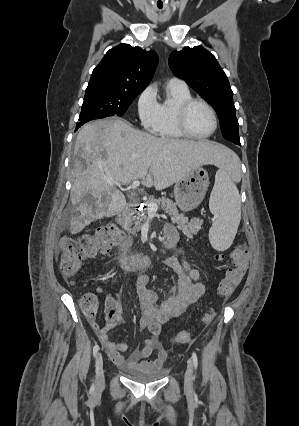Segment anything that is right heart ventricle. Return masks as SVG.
Wrapping results in <instances>:
<instances>
[{
    "instance_id": "obj_1",
    "label": "right heart ventricle",
    "mask_w": 299,
    "mask_h": 426,
    "mask_svg": "<svg viewBox=\"0 0 299 426\" xmlns=\"http://www.w3.org/2000/svg\"><path fill=\"white\" fill-rule=\"evenodd\" d=\"M189 98H192V94L186 85L170 82L167 84L166 95L159 102L157 135L167 139H180L184 137L177 127L176 114L180 104Z\"/></svg>"
}]
</instances>
